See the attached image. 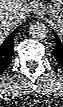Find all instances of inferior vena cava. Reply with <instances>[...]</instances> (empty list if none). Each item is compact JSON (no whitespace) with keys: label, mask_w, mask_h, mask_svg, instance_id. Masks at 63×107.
I'll use <instances>...</instances> for the list:
<instances>
[{"label":"inferior vena cava","mask_w":63,"mask_h":107,"mask_svg":"<svg viewBox=\"0 0 63 107\" xmlns=\"http://www.w3.org/2000/svg\"><path fill=\"white\" fill-rule=\"evenodd\" d=\"M16 22L17 20L15 16H11L8 18V23H10L11 25H14Z\"/></svg>","instance_id":"602c4592"}]
</instances>
